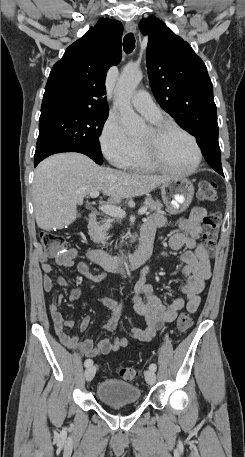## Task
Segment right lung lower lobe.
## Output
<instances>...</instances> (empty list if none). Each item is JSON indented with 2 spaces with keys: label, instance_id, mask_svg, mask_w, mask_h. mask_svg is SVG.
<instances>
[{
  "label": "right lung lower lobe",
  "instance_id": "right-lung-lower-lobe-1",
  "mask_svg": "<svg viewBox=\"0 0 245 457\" xmlns=\"http://www.w3.org/2000/svg\"><path fill=\"white\" fill-rule=\"evenodd\" d=\"M60 152H71V151H67V150H53V151H49V152H46V153H43L41 155H38L37 157L34 158V166H37V164L42 161L44 158L52 155V154H55V153H60Z\"/></svg>",
  "mask_w": 245,
  "mask_h": 457
}]
</instances>
